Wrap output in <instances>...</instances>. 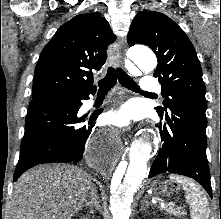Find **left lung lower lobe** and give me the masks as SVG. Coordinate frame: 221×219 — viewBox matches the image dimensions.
I'll return each mask as SVG.
<instances>
[{
    "label": "left lung lower lobe",
    "instance_id": "0a47b994",
    "mask_svg": "<svg viewBox=\"0 0 221 219\" xmlns=\"http://www.w3.org/2000/svg\"><path fill=\"white\" fill-rule=\"evenodd\" d=\"M163 116L167 121L159 126L163 144L148 178L164 172L188 176L199 182L212 198L206 157V115L174 106Z\"/></svg>",
    "mask_w": 221,
    "mask_h": 219
}]
</instances>
